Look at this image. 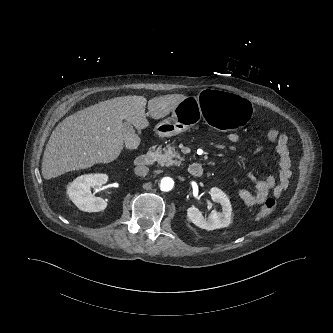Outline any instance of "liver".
<instances>
[{"label":"liver","instance_id":"1","mask_svg":"<svg viewBox=\"0 0 333 333\" xmlns=\"http://www.w3.org/2000/svg\"><path fill=\"white\" fill-rule=\"evenodd\" d=\"M186 98L169 94L148 101L153 119H161ZM143 96L112 98L80 110L60 122L46 145L42 175L45 179L92 167L97 163L114 161L123 150L122 121L137 129L148 127Z\"/></svg>","mask_w":333,"mask_h":333}]
</instances>
